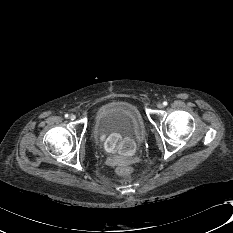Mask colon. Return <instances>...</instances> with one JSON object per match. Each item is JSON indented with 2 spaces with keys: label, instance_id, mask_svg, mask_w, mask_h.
I'll list each match as a JSON object with an SVG mask.
<instances>
[{
  "label": "colon",
  "instance_id": "1",
  "mask_svg": "<svg viewBox=\"0 0 233 233\" xmlns=\"http://www.w3.org/2000/svg\"><path fill=\"white\" fill-rule=\"evenodd\" d=\"M117 173L120 175V176H129L130 175V169L127 168V167H119L117 169Z\"/></svg>",
  "mask_w": 233,
  "mask_h": 233
}]
</instances>
